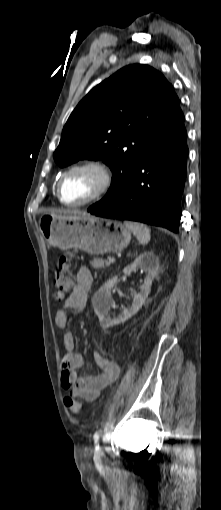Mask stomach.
Returning a JSON list of instances; mask_svg holds the SVG:
<instances>
[{
	"label": "stomach",
	"mask_w": 221,
	"mask_h": 510,
	"mask_svg": "<svg viewBox=\"0 0 221 510\" xmlns=\"http://www.w3.org/2000/svg\"><path fill=\"white\" fill-rule=\"evenodd\" d=\"M39 230L51 246L77 248L90 255L121 251L131 240L130 231L121 222L89 214H44Z\"/></svg>",
	"instance_id": "stomach-1"
}]
</instances>
